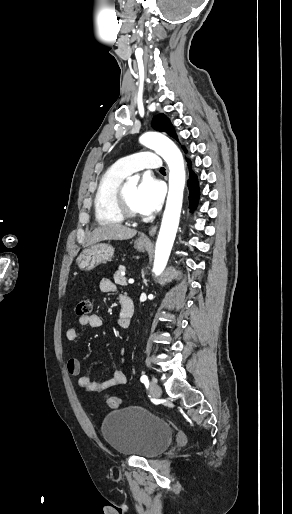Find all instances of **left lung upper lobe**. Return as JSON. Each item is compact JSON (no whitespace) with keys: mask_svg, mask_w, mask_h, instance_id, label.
<instances>
[{"mask_svg":"<svg viewBox=\"0 0 292 514\" xmlns=\"http://www.w3.org/2000/svg\"><path fill=\"white\" fill-rule=\"evenodd\" d=\"M152 127L157 131L166 132L169 136L177 140L175 130L165 114L155 116L152 121Z\"/></svg>","mask_w":292,"mask_h":514,"instance_id":"1","label":"left lung upper lobe"}]
</instances>
